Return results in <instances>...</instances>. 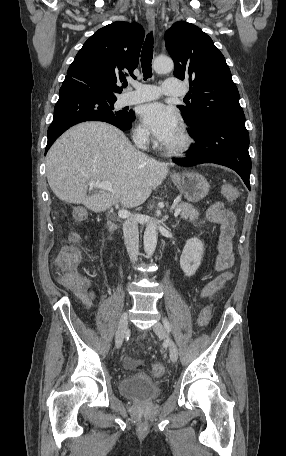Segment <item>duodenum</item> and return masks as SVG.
Returning <instances> with one entry per match:
<instances>
[{
	"label": "duodenum",
	"instance_id": "duodenum-1",
	"mask_svg": "<svg viewBox=\"0 0 286 456\" xmlns=\"http://www.w3.org/2000/svg\"><path fill=\"white\" fill-rule=\"evenodd\" d=\"M109 230H110V233L113 236V238L115 240H118L119 239L118 229H117V225L114 222H112L110 224Z\"/></svg>",
	"mask_w": 286,
	"mask_h": 456
}]
</instances>
